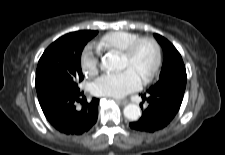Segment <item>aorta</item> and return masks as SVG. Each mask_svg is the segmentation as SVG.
Returning a JSON list of instances; mask_svg holds the SVG:
<instances>
[{
    "label": "aorta",
    "instance_id": "1",
    "mask_svg": "<svg viewBox=\"0 0 225 155\" xmlns=\"http://www.w3.org/2000/svg\"><path fill=\"white\" fill-rule=\"evenodd\" d=\"M122 68L121 59L118 55L113 53H107L102 58V64L101 69L105 71H113V70H119ZM124 116L131 120L136 121L141 116V110L140 107L136 104H128L124 108Z\"/></svg>",
    "mask_w": 225,
    "mask_h": 155
}]
</instances>
